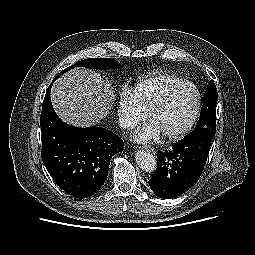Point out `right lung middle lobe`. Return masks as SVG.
<instances>
[{
	"label": "right lung middle lobe",
	"instance_id": "right-lung-middle-lobe-1",
	"mask_svg": "<svg viewBox=\"0 0 255 255\" xmlns=\"http://www.w3.org/2000/svg\"><path fill=\"white\" fill-rule=\"evenodd\" d=\"M115 66H117L116 61H114L113 59H110V58H101V59L89 58V59H85V60H82V61H79V62L75 63L74 66H70V67L66 68L65 70H63L61 73H59L53 79L52 82H54L64 72H67L68 70H70L74 67H87V68H91V69L104 70V69L114 68Z\"/></svg>",
	"mask_w": 255,
	"mask_h": 255
}]
</instances>
